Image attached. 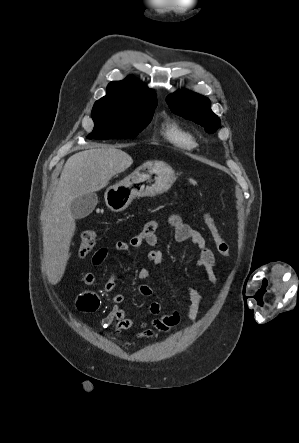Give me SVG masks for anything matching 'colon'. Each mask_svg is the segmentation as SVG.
Listing matches in <instances>:
<instances>
[{"mask_svg":"<svg viewBox=\"0 0 299 443\" xmlns=\"http://www.w3.org/2000/svg\"><path fill=\"white\" fill-rule=\"evenodd\" d=\"M203 220L211 232L214 245L218 250V252L221 255L228 257L230 255L229 245L221 238L213 218L209 214L205 213L203 214ZM95 242H96V233L94 230L87 229L83 231L81 234L79 255L81 257H86L92 251Z\"/></svg>","mask_w":299,"mask_h":443,"instance_id":"5ec220e1","label":"colon"}]
</instances>
